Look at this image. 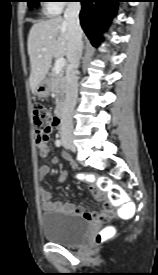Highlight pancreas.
<instances>
[{
    "instance_id": "pancreas-1",
    "label": "pancreas",
    "mask_w": 158,
    "mask_h": 275,
    "mask_svg": "<svg viewBox=\"0 0 158 275\" xmlns=\"http://www.w3.org/2000/svg\"><path fill=\"white\" fill-rule=\"evenodd\" d=\"M49 88L50 92L55 95L57 102L64 99L66 91V77L62 71L60 73H55V71H52L49 78Z\"/></svg>"
}]
</instances>
